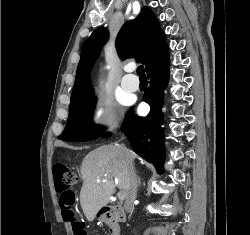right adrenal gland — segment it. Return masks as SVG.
<instances>
[{"label":"right adrenal gland","mask_w":250,"mask_h":235,"mask_svg":"<svg viewBox=\"0 0 250 235\" xmlns=\"http://www.w3.org/2000/svg\"><path fill=\"white\" fill-rule=\"evenodd\" d=\"M138 184H139V186L141 185V180L139 177H138Z\"/></svg>","instance_id":"2a0ac1e0"}]
</instances>
